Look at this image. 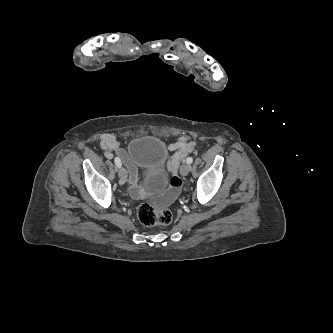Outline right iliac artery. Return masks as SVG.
Listing matches in <instances>:
<instances>
[{"mask_svg": "<svg viewBox=\"0 0 333 333\" xmlns=\"http://www.w3.org/2000/svg\"><path fill=\"white\" fill-rule=\"evenodd\" d=\"M114 162H115V164H116V166H117L118 168L121 167L122 162H121L120 158L115 157Z\"/></svg>", "mask_w": 333, "mask_h": 333, "instance_id": "1", "label": "right iliac artery"}]
</instances>
